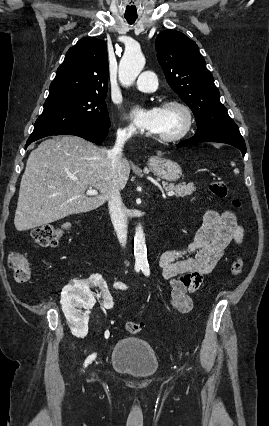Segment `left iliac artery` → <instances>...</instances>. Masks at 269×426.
<instances>
[{
	"mask_svg": "<svg viewBox=\"0 0 269 426\" xmlns=\"http://www.w3.org/2000/svg\"><path fill=\"white\" fill-rule=\"evenodd\" d=\"M142 271L144 272V274H145L146 276H148V275L150 274V270H149V268H148V267H144V268H142Z\"/></svg>",
	"mask_w": 269,
	"mask_h": 426,
	"instance_id": "1",
	"label": "left iliac artery"
}]
</instances>
